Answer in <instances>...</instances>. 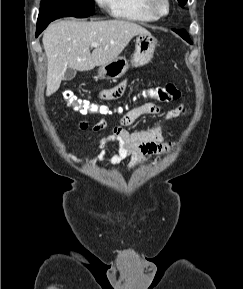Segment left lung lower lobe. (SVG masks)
<instances>
[{
    "mask_svg": "<svg viewBox=\"0 0 243 289\" xmlns=\"http://www.w3.org/2000/svg\"><path fill=\"white\" fill-rule=\"evenodd\" d=\"M173 31L176 32L177 34H179L184 40H186L187 42L192 44V41L190 40L189 35L186 33V31L176 30V29H173Z\"/></svg>",
    "mask_w": 243,
    "mask_h": 289,
    "instance_id": "left-lung-lower-lobe-1",
    "label": "left lung lower lobe"
}]
</instances>
